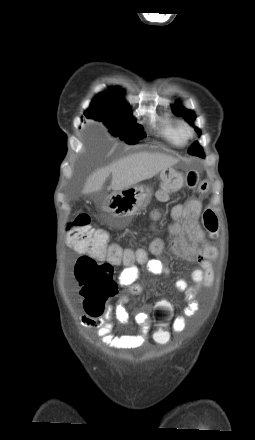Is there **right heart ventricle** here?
Returning a JSON list of instances; mask_svg holds the SVG:
<instances>
[{
    "label": "right heart ventricle",
    "mask_w": 255,
    "mask_h": 440,
    "mask_svg": "<svg viewBox=\"0 0 255 440\" xmlns=\"http://www.w3.org/2000/svg\"><path fill=\"white\" fill-rule=\"evenodd\" d=\"M184 124L170 117H165L160 122L159 133L169 143L175 146H181L185 143Z\"/></svg>",
    "instance_id": "1"
}]
</instances>
